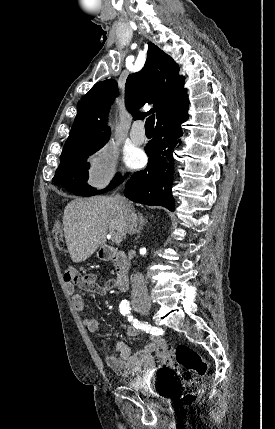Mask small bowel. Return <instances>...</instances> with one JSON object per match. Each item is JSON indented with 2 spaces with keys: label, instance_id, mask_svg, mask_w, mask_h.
Returning a JSON list of instances; mask_svg holds the SVG:
<instances>
[{
  "label": "small bowel",
  "instance_id": "obj_1",
  "mask_svg": "<svg viewBox=\"0 0 275 429\" xmlns=\"http://www.w3.org/2000/svg\"><path fill=\"white\" fill-rule=\"evenodd\" d=\"M69 270L70 277H64V281L67 291L72 297L73 306L79 312L84 310L85 303L82 295L76 292L75 286L100 295L106 294L115 286V281L112 279L99 283L95 274H81L72 267ZM83 322L91 332H97L100 328V323L95 317H86ZM126 333L130 337H136L139 335L140 329L131 326L126 329ZM162 341L159 337L152 336L143 349L131 354V350L125 342L115 339L114 345L118 356L107 355L106 363L114 372L124 377H135L143 372L154 371L158 359L157 351Z\"/></svg>",
  "mask_w": 275,
  "mask_h": 429
}]
</instances>
